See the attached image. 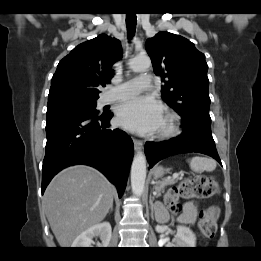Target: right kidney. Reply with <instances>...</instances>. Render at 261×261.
<instances>
[{"label": "right kidney", "mask_w": 261, "mask_h": 261, "mask_svg": "<svg viewBox=\"0 0 261 261\" xmlns=\"http://www.w3.org/2000/svg\"><path fill=\"white\" fill-rule=\"evenodd\" d=\"M112 236V228L109 222L96 224L82 232L72 243L73 248H89L94 237H99L101 244L99 247L106 248Z\"/></svg>", "instance_id": "right-kidney-1"}]
</instances>
